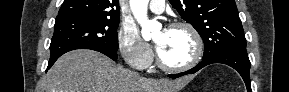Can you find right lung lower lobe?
I'll return each instance as SVG.
<instances>
[{
	"label": "right lung lower lobe",
	"instance_id": "98d812e1",
	"mask_svg": "<svg viewBox=\"0 0 289 92\" xmlns=\"http://www.w3.org/2000/svg\"><path fill=\"white\" fill-rule=\"evenodd\" d=\"M90 49L95 50V51H99V52L107 55L108 57H110L112 60H116V59H117V54H116V52H113V51H110V50H107V49H102V48H90ZM58 58H59V57L53 58V59H50V60H49L47 70L52 67V65L55 63V61H56ZM47 70H46V71H47Z\"/></svg>",
	"mask_w": 289,
	"mask_h": 92
}]
</instances>
